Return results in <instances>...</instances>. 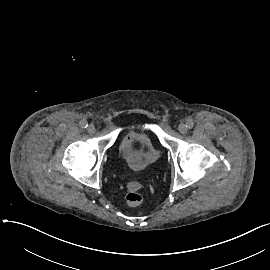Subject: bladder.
Segmentation results:
<instances>
[{
    "label": "bladder",
    "instance_id": "31cf9c89",
    "mask_svg": "<svg viewBox=\"0 0 270 270\" xmlns=\"http://www.w3.org/2000/svg\"><path fill=\"white\" fill-rule=\"evenodd\" d=\"M140 138L144 142L143 148L135 147V139ZM123 162L132 174L144 172L151 164V151L153 149V136L146 131H127L126 138L121 142Z\"/></svg>",
    "mask_w": 270,
    "mask_h": 270
}]
</instances>
